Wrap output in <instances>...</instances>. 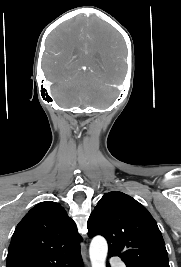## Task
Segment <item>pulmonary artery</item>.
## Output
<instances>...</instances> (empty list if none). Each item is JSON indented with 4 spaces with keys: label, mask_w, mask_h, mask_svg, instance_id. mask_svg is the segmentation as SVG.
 <instances>
[{
    "label": "pulmonary artery",
    "mask_w": 181,
    "mask_h": 267,
    "mask_svg": "<svg viewBox=\"0 0 181 267\" xmlns=\"http://www.w3.org/2000/svg\"><path fill=\"white\" fill-rule=\"evenodd\" d=\"M115 267H125V265L121 261H116Z\"/></svg>",
    "instance_id": "e3ab8cb5"
}]
</instances>
